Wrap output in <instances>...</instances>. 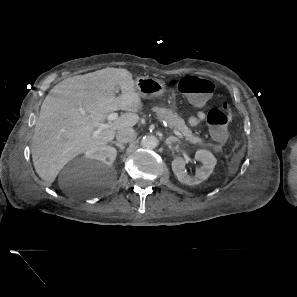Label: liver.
<instances>
[{"label": "liver", "mask_w": 297, "mask_h": 297, "mask_svg": "<svg viewBox=\"0 0 297 297\" xmlns=\"http://www.w3.org/2000/svg\"><path fill=\"white\" fill-rule=\"evenodd\" d=\"M126 69L105 68L64 79L45 97L35 124L31 146L34 168L48 185L73 158L91 147L111 142L116 131L132 128L143 104ZM121 94L116 97V87ZM123 110L110 126L93 136L105 124L109 113Z\"/></svg>", "instance_id": "liver-1"}]
</instances>
